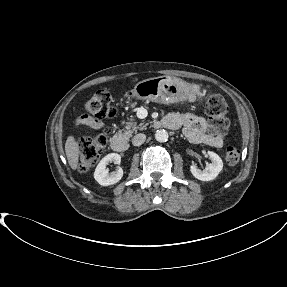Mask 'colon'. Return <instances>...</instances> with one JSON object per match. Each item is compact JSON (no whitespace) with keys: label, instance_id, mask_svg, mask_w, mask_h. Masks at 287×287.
Segmentation results:
<instances>
[{"label":"colon","instance_id":"1","mask_svg":"<svg viewBox=\"0 0 287 287\" xmlns=\"http://www.w3.org/2000/svg\"><path fill=\"white\" fill-rule=\"evenodd\" d=\"M87 113L99 119H112L116 115L114 99L106 90L96 92L85 104ZM206 114L209 117L210 131L214 136H223L229 128L228 104L218 93L212 92L206 99ZM107 143L106 134L92 137H83L79 141L80 161L79 169L82 172L93 167L104 153ZM241 152L234 146L225 149V159L229 164H237Z\"/></svg>","mask_w":287,"mask_h":287}]
</instances>
